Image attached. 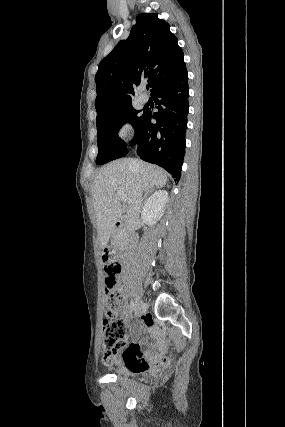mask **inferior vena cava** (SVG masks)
I'll return each instance as SVG.
<instances>
[{
    "mask_svg": "<svg viewBox=\"0 0 285 427\" xmlns=\"http://www.w3.org/2000/svg\"><path fill=\"white\" fill-rule=\"evenodd\" d=\"M142 195H143V191L139 188L135 192L132 201L128 204V208L126 210V222H127V231L129 234L134 232L135 226L139 220L140 207L143 201Z\"/></svg>",
    "mask_w": 285,
    "mask_h": 427,
    "instance_id": "1",
    "label": "inferior vena cava"
}]
</instances>
